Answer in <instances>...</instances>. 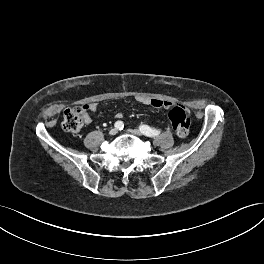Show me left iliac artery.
Returning <instances> with one entry per match:
<instances>
[{
    "mask_svg": "<svg viewBox=\"0 0 264 264\" xmlns=\"http://www.w3.org/2000/svg\"><path fill=\"white\" fill-rule=\"evenodd\" d=\"M140 131L144 134L145 132H151L152 134H157L159 135L160 134V130H157V129H153V128H150L149 126L147 125H141L140 126Z\"/></svg>",
    "mask_w": 264,
    "mask_h": 264,
    "instance_id": "obj_1",
    "label": "left iliac artery"
}]
</instances>
